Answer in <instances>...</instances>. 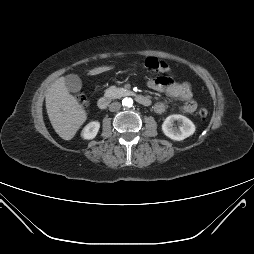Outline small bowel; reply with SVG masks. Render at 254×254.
Here are the masks:
<instances>
[{"mask_svg":"<svg viewBox=\"0 0 254 254\" xmlns=\"http://www.w3.org/2000/svg\"><path fill=\"white\" fill-rule=\"evenodd\" d=\"M147 86L155 91L164 92L167 96L183 101L182 111L185 113H193L197 109V103L193 100V94L188 82H177L167 76L149 79ZM166 110V105L163 102H158L154 105V111L157 114H162Z\"/></svg>","mask_w":254,"mask_h":254,"instance_id":"small-bowel-1","label":"small bowel"}]
</instances>
